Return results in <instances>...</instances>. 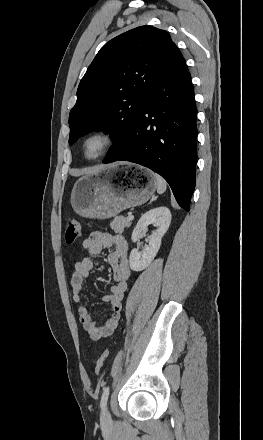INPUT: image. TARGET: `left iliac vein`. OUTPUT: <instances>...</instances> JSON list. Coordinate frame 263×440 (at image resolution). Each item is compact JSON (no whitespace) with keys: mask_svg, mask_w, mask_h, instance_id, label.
I'll return each instance as SVG.
<instances>
[{"mask_svg":"<svg viewBox=\"0 0 263 440\" xmlns=\"http://www.w3.org/2000/svg\"><path fill=\"white\" fill-rule=\"evenodd\" d=\"M101 419L103 423L109 422L111 420L110 412L107 405L102 410Z\"/></svg>","mask_w":263,"mask_h":440,"instance_id":"4c4485c4","label":"left iliac vein"}]
</instances>
